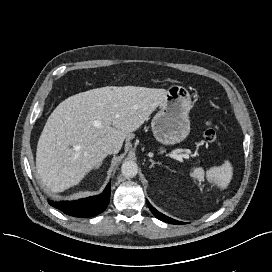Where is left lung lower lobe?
Here are the masks:
<instances>
[{
  "label": "left lung lower lobe",
  "mask_w": 272,
  "mask_h": 272,
  "mask_svg": "<svg viewBox=\"0 0 272 272\" xmlns=\"http://www.w3.org/2000/svg\"><path fill=\"white\" fill-rule=\"evenodd\" d=\"M147 204L151 210V212L160 220L162 221H165L167 223H170V224H183V222H180V221H177V220H174L168 216H165L164 214L158 212L148 201H147Z\"/></svg>",
  "instance_id": "1"
}]
</instances>
